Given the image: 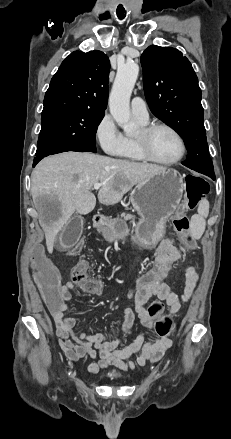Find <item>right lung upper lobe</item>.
I'll return each instance as SVG.
<instances>
[{
    "instance_id": "1",
    "label": "right lung upper lobe",
    "mask_w": 231,
    "mask_h": 439,
    "mask_svg": "<svg viewBox=\"0 0 231 439\" xmlns=\"http://www.w3.org/2000/svg\"><path fill=\"white\" fill-rule=\"evenodd\" d=\"M109 59L101 51H75L61 64L45 94L42 117L67 112H105Z\"/></svg>"
}]
</instances>
